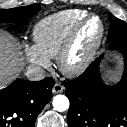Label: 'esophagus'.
I'll return each instance as SVG.
<instances>
[{
  "instance_id": "obj_1",
  "label": "esophagus",
  "mask_w": 127,
  "mask_h": 127,
  "mask_svg": "<svg viewBox=\"0 0 127 127\" xmlns=\"http://www.w3.org/2000/svg\"><path fill=\"white\" fill-rule=\"evenodd\" d=\"M63 91H64V87L59 83H56L52 88V92L54 94L62 93Z\"/></svg>"
}]
</instances>
